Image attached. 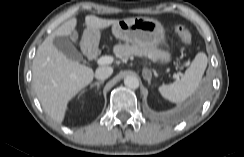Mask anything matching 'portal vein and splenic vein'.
Instances as JSON below:
<instances>
[{
  "label": "portal vein and splenic vein",
  "mask_w": 244,
  "mask_h": 157,
  "mask_svg": "<svg viewBox=\"0 0 244 157\" xmlns=\"http://www.w3.org/2000/svg\"><path fill=\"white\" fill-rule=\"evenodd\" d=\"M113 62V57L111 56H102L97 60V64L99 66H103V65H108L111 64ZM187 65H189V63H187ZM177 79H179V74L176 76Z\"/></svg>",
  "instance_id": "1"
}]
</instances>
